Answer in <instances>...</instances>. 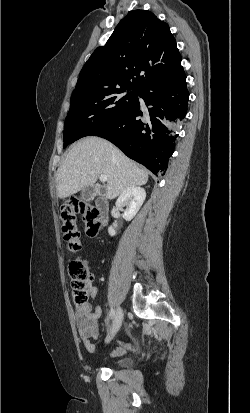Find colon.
<instances>
[{
    "instance_id": "colon-1",
    "label": "colon",
    "mask_w": 250,
    "mask_h": 413,
    "mask_svg": "<svg viewBox=\"0 0 250 413\" xmlns=\"http://www.w3.org/2000/svg\"><path fill=\"white\" fill-rule=\"evenodd\" d=\"M81 215L85 222V231L89 237H95L100 230V221L96 208L84 200L73 197L61 207L62 231L67 249L72 253L81 250L80 231L76 218ZM72 296L77 308L87 306L91 288L92 274L81 260H74L69 265Z\"/></svg>"
}]
</instances>
